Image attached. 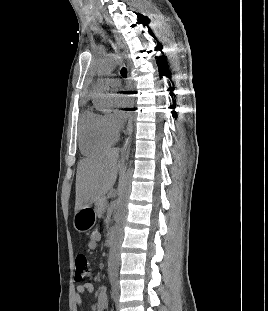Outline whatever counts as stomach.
Instances as JSON below:
<instances>
[{
    "label": "stomach",
    "mask_w": 268,
    "mask_h": 311,
    "mask_svg": "<svg viewBox=\"0 0 268 311\" xmlns=\"http://www.w3.org/2000/svg\"><path fill=\"white\" fill-rule=\"evenodd\" d=\"M96 215L91 205L76 211L73 218L74 228L78 232L89 231L95 224Z\"/></svg>",
    "instance_id": "0dacf381"
}]
</instances>
